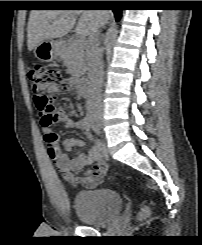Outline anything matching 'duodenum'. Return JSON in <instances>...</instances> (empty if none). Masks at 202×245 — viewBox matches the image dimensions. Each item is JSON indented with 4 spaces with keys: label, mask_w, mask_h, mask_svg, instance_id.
Here are the masks:
<instances>
[{
    "label": "duodenum",
    "mask_w": 202,
    "mask_h": 245,
    "mask_svg": "<svg viewBox=\"0 0 202 245\" xmlns=\"http://www.w3.org/2000/svg\"><path fill=\"white\" fill-rule=\"evenodd\" d=\"M78 94L86 98L88 96V81L86 78H80L75 83Z\"/></svg>",
    "instance_id": "duodenum-1"
}]
</instances>
